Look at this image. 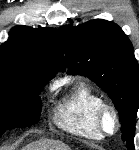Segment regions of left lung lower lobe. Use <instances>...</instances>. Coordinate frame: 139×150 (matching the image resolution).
I'll return each instance as SVG.
<instances>
[{
	"label": "left lung lower lobe",
	"mask_w": 139,
	"mask_h": 150,
	"mask_svg": "<svg viewBox=\"0 0 139 150\" xmlns=\"http://www.w3.org/2000/svg\"><path fill=\"white\" fill-rule=\"evenodd\" d=\"M129 150H134V146L130 147Z\"/></svg>",
	"instance_id": "left-lung-lower-lobe-1"
}]
</instances>
